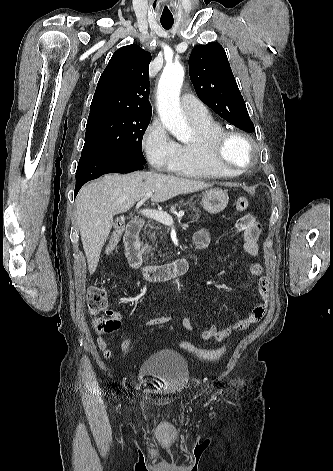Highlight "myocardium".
<instances>
[{"label":"myocardium","mask_w":333,"mask_h":471,"mask_svg":"<svg viewBox=\"0 0 333 471\" xmlns=\"http://www.w3.org/2000/svg\"><path fill=\"white\" fill-rule=\"evenodd\" d=\"M231 141H239L246 147L247 157L241 164L232 163L225 157V150ZM208 151L211 160L216 166L221 169L239 173L247 170L252 165L254 161L255 144L248 135L242 132L224 130L210 139Z\"/></svg>","instance_id":"obj_1"}]
</instances>
